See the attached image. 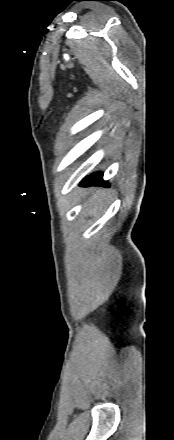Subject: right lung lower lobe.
Instances as JSON below:
<instances>
[{"instance_id": "right-lung-lower-lobe-1", "label": "right lung lower lobe", "mask_w": 174, "mask_h": 440, "mask_svg": "<svg viewBox=\"0 0 174 440\" xmlns=\"http://www.w3.org/2000/svg\"><path fill=\"white\" fill-rule=\"evenodd\" d=\"M103 173H95L91 175L90 177L83 180L82 185L89 186V185H105L109 186L106 181H103L102 179Z\"/></svg>"}]
</instances>
